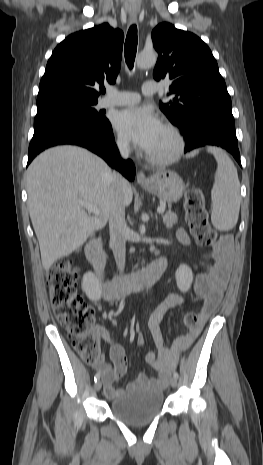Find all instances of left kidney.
Listing matches in <instances>:
<instances>
[{"instance_id":"left-kidney-1","label":"left kidney","mask_w":263,"mask_h":465,"mask_svg":"<svg viewBox=\"0 0 263 465\" xmlns=\"http://www.w3.org/2000/svg\"><path fill=\"white\" fill-rule=\"evenodd\" d=\"M177 287L181 292H187L193 281V273L189 266L181 265L175 273Z\"/></svg>"}]
</instances>
